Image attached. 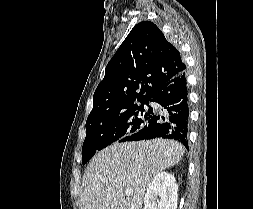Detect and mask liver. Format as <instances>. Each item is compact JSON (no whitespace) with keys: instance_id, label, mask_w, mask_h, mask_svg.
Here are the masks:
<instances>
[{"instance_id":"1","label":"liver","mask_w":253,"mask_h":209,"mask_svg":"<svg viewBox=\"0 0 253 209\" xmlns=\"http://www.w3.org/2000/svg\"><path fill=\"white\" fill-rule=\"evenodd\" d=\"M185 148L175 140L114 143L98 152L83 176L80 209H142L151 179L178 164ZM132 188L127 196L124 189Z\"/></svg>"}]
</instances>
